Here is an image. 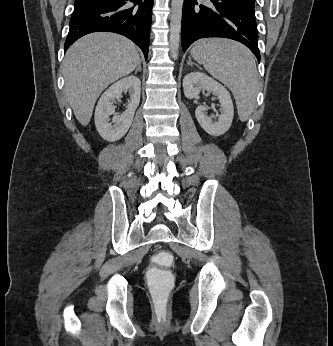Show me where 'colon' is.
I'll return each mask as SVG.
<instances>
[{"instance_id": "obj_1", "label": "colon", "mask_w": 333, "mask_h": 346, "mask_svg": "<svg viewBox=\"0 0 333 346\" xmlns=\"http://www.w3.org/2000/svg\"><path fill=\"white\" fill-rule=\"evenodd\" d=\"M173 258L170 253L161 251L152 257L151 269H146L149 292L152 298V310H166L167 296L171 288L176 287L170 271L173 269Z\"/></svg>"}]
</instances>
